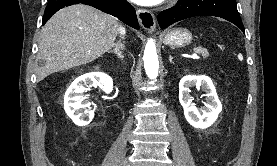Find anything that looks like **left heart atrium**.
<instances>
[{"instance_id": "obj_1", "label": "left heart atrium", "mask_w": 277, "mask_h": 166, "mask_svg": "<svg viewBox=\"0 0 277 166\" xmlns=\"http://www.w3.org/2000/svg\"><path fill=\"white\" fill-rule=\"evenodd\" d=\"M134 3L145 5V6H152L161 3L163 0H131Z\"/></svg>"}]
</instances>
